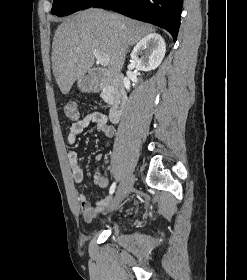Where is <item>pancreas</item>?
Listing matches in <instances>:
<instances>
[{"mask_svg": "<svg viewBox=\"0 0 247 280\" xmlns=\"http://www.w3.org/2000/svg\"><path fill=\"white\" fill-rule=\"evenodd\" d=\"M101 97H102V98H105V92L101 94Z\"/></svg>", "mask_w": 247, "mask_h": 280, "instance_id": "obj_1", "label": "pancreas"}]
</instances>
